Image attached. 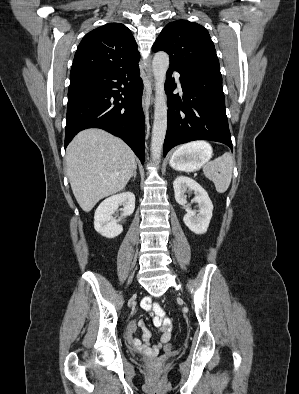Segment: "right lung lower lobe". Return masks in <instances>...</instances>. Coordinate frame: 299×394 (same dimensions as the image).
Returning a JSON list of instances; mask_svg holds the SVG:
<instances>
[{"mask_svg": "<svg viewBox=\"0 0 299 394\" xmlns=\"http://www.w3.org/2000/svg\"><path fill=\"white\" fill-rule=\"evenodd\" d=\"M142 91L138 65L70 79L64 147L79 131L101 128L123 139L143 164Z\"/></svg>", "mask_w": 299, "mask_h": 394, "instance_id": "obj_1", "label": "right lung lower lobe"}]
</instances>
